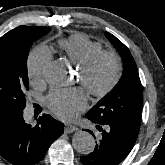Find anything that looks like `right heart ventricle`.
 I'll list each match as a JSON object with an SVG mask.
<instances>
[{
    "label": "right heart ventricle",
    "instance_id": "1",
    "mask_svg": "<svg viewBox=\"0 0 165 165\" xmlns=\"http://www.w3.org/2000/svg\"><path fill=\"white\" fill-rule=\"evenodd\" d=\"M60 50L74 64L80 66L91 55L102 50L100 43L93 41L87 35L75 33L58 40Z\"/></svg>",
    "mask_w": 165,
    "mask_h": 165
}]
</instances>
